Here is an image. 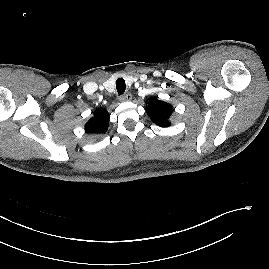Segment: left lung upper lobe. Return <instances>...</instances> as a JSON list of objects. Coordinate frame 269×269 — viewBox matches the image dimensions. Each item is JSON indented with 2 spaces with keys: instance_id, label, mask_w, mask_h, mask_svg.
Returning <instances> with one entry per match:
<instances>
[{
  "instance_id": "left-lung-upper-lobe-1",
  "label": "left lung upper lobe",
  "mask_w": 269,
  "mask_h": 269,
  "mask_svg": "<svg viewBox=\"0 0 269 269\" xmlns=\"http://www.w3.org/2000/svg\"><path fill=\"white\" fill-rule=\"evenodd\" d=\"M146 103V112L155 124L161 127L170 126L169 118L173 112L171 104L156 98H152Z\"/></svg>"
}]
</instances>
